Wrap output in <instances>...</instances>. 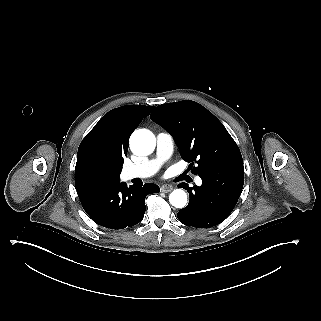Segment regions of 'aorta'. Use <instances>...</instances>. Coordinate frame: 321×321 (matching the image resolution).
Segmentation results:
<instances>
[{"mask_svg": "<svg viewBox=\"0 0 321 321\" xmlns=\"http://www.w3.org/2000/svg\"><path fill=\"white\" fill-rule=\"evenodd\" d=\"M156 146L154 134L147 129H139L133 132L130 138L131 151L139 156L152 153ZM169 202L176 208H184L187 204V194L182 189H175L169 195Z\"/></svg>", "mask_w": 321, "mask_h": 321, "instance_id": "1", "label": "aorta"}]
</instances>
